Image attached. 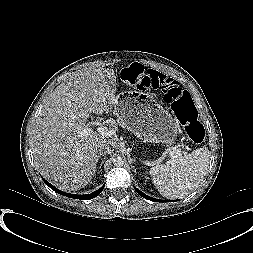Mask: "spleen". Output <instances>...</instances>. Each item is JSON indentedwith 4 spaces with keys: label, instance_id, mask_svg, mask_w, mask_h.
Here are the masks:
<instances>
[{
    "label": "spleen",
    "instance_id": "spleen-1",
    "mask_svg": "<svg viewBox=\"0 0 253 253\" xmlns=\"http://www.w3.org/2000/svg\"><path fill=\"white\" fill-rule=\"evenodd\" d=\"M210 152L205 147L181 155L167 164L156 165L149 171L160 194L168 199L187 196L194 190L208 169Z\"/></svg>",
    "mask_w": 253,
    "mask_h": 253
}]
</instances>
